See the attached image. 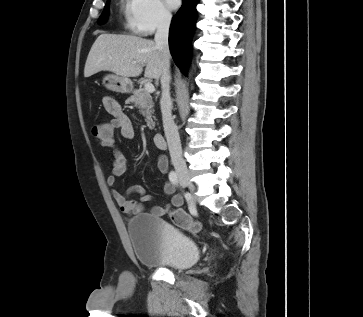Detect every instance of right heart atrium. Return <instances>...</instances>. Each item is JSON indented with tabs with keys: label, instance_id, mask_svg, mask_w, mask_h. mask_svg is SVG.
<instances>
[{
	"label": "right heart atrium",
	"instance_id": "d8ad5b80",
	"mask_svg": "<svg viewBox=\"0 0 363 317\" xmlns=\"http://www.w3.org/2000/svg\"><path fill=\"white\" fill-rule=\"evenodd\" d=\"M126 15L129 28L143 36L168 27L172 19L162 0H128Z\"/></svg>",
	"mask_w": 363,
	"mask_h": 317
}]
</instances>
